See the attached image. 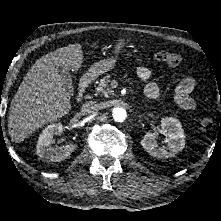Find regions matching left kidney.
<instances>
[{
  "label": "left kidney",
  "mask_w": 221,
  "mask_h": 221,
  "mask_svg": "<svg viewBox=\"0 0 221 221\" xmlns=\"http://www.w3.org/2000/svg\"><path fill=\"white\" fill-rule=\"evenodd\" d=\"M161 129L165 133L168 145L158 147V135L154 132H147L141 140V146L153 157H173L185 147V135L180 121L176 118L166 117L161 120Z\"/></svg>",
  "instance_id": "5707ae66"
}]
</instances>
